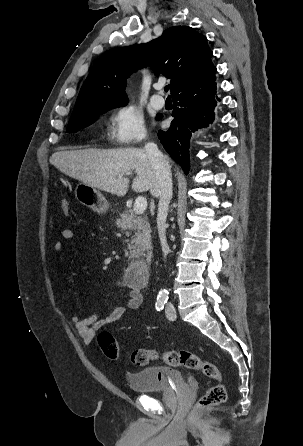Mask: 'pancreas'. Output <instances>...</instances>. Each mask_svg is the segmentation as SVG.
Segmentation results:
<instances>
[{
	"label": "pancreas",
	"mask_w": 303,
	"mask_h": 446,
	"mask_svg": "<svg viewBox=\"0 0 303 446\" xmlns=\"http://www.w3.org/2000/svg\"><path fill=\"white\" fill-rule=\"evenodd\" d=\"M118 228L132 234V239L128 244V250L125 251L129 259H135L145 256V251L151 250V228L148 217L137 216L132 211H124L120 217L116 219Z\"/></svg>",
	"instance_id": "pancreas-1"
}]
</instances>
